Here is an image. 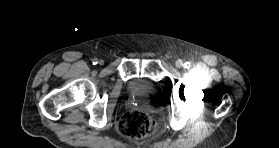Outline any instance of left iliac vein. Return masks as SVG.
I'll return each mask as SVG.
<instances>
[{
  "instance_id": "left-iliac-vein-1",
  "label": "left iliac vein",
  "mask_w": 279,
  "mask_h": 148,
  "mask_svg": "<svg viewBox=\"0 0 279 148\" xmlns=\"http://www.w3.org/2000/svg\"><path fill=\"white\" fill-rule=\"evenodd\" d=\"M176 66H177L178 68H181V67L183 66V62H182L181 60H178V61L176 62Z\"/></svg>"
}]
</instances>
